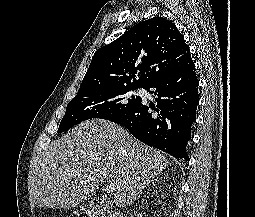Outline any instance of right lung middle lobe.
Segmentation results:
<instances>
[{"label":"right lung middle lobe","mask_w":255,"mask_h":217,"mask_svg":"<svg viewBox=\"0 0 255 217\" xmlns=\"http://www.w3.org/2000/svg\"><path fill=\"white\" fill-rule=\"evenodd\" d=\"M137 88L127 86L78 92L67 105L58 133L88 119L110 120L131 111L142 101L139 96L132 95V91Z\"/></svg>","instance_id":"1"}]
</instances>
